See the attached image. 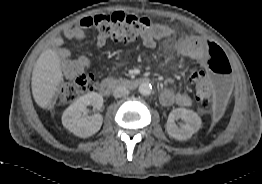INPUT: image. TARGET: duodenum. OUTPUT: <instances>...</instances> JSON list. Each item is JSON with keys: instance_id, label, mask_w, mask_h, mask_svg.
<instances>
[{"instance_id": "1", "label": "duodenum", "mask_w": 262, "mask_h": 184, "mask_svg": "<svg viewBox=\"0 0 262 184\" xmlns=\"http://www.w3.org/2000/svg\"><path fill=\"white\" fill-rule=\"evenodd\" d=\"M150 81L147 78H133V79H114L107 78L99 84V92L103 96H109L116 87L137 88L141 85L148 84Z\"/></svg>"}]
</instances>
